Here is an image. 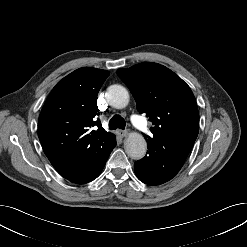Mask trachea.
Listing matches in <instances>:
<instances>
[{
	"label": "trachea",
	"mask_w": 247,
	"mask_h": 247,
	"mask_svg": "<svg viewBox=\"0 0 247 247\" xmlns=\"http://www.w3.org/2000/svg\"><path fill=\"white\" fill-rule=\"evenodd\" d=\"M126 121L120 115H114L109 121V129L115 130L117 128L124 129Z\"/></svg>",
	"instance_id": "3493384b"
}]
</instances>
